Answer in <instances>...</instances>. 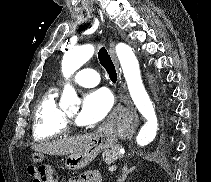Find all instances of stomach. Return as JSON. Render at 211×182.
<instances>
[{"label": "stomach", "instance_id": "1", "mask_svg": "<svg viewBox=\"0 0 211 182\" xmlns=\"http://www.w3.org/2000/svg\"><path fill=\"white\" fill-rule=\"evenodd\" d=\"M117 142V132L113 128H105L93 134L91 140L79 151L70 154L65 159V167L68 170H80L86 167L103 150L113 148ZM33 160L40 162L43 159L41 153L34 154Z\"/></svg>", "mask_w": 211, "mask_h": 182}]
</instances>
